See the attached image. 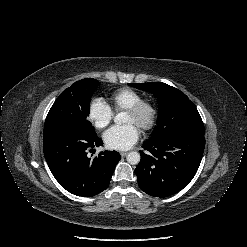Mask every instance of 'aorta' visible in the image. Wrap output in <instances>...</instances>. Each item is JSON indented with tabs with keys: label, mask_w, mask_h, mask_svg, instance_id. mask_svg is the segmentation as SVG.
Masks as SVG:
<instances>
[{
	"label": "aorta",
	"mask_w": 247,
	"mask_h": 247,
	"mask_svg": "<svg viewBox=\"0 0 247 247\" xmlns=\"http://www.w3.org/2000/svg\"><path fill=\"white\" fill-rule=\"evenodd\" d=\"M114 122L116 124H122L125 122V113L124 112H121V113H118L115 117H114ZM127 162L131 165H136L139 163L140 161V154L136 151H132V152H129L127 157Z\"/></svg>",
	"instance_id": "762f6f07"
}]
</instances>
